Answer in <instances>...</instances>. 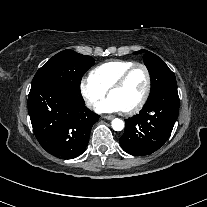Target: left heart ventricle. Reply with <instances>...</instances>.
<instances>
[{"label":"left heart ventricle","mask_w":207,"mask_h":207,"mask_svg":"<svg viewBox=\"0 0 207 207\" xmlns=\"http://www.w3.org/2000/svg\"><path fill=\"white\" fill-rule=\"evenodd\" d=\"M146 88V76L141 68L135 69L124 85L110 93L122 110H127L137 104Z\"/></svg>","instance_id":"b2bd125f"}]
</instances>
